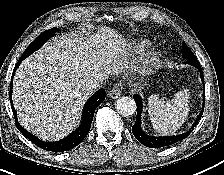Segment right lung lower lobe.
Listing matches in <instances>:
<instances>
[{
  "instance_id": "1",
  "label": "right lung lower lobe",
  "mask_w": 224,
  "mask_h": 175,
  "mask_svg": "<svg viewBox=\"0 0 224 175\" xmlns=\"http://www.w3.org/2000/svg\"><path fill=\"white\" fill-rule=\"evenodd\" d=\"M25 58H26V55L22 56L20 58V60L18 61V63L16 64V66L13 70L12 78H13L14 73L17 70L18 66L20 65L22 60H24ZM10 87L11 88H10V92H9V97H10L11 108H12V111H13V114L15 117L17 128L26 138H28L30 141H32L34 144H36L38 147H40L46 151H52V152L68 151V150L76 147L78 144H80L90 130L95 110L105 99V90L104 89L98 90L86 102L83 112H82L81 125L74 132H72L69 136H67L66 138H64L60 141L44 142L20 126V124L17 120L16 110L13 107L12 99H11L12 98V83H11Z\"/></svg>"
}]
</instances>
